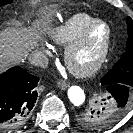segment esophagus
<instances>
[{"label": "esophagus", "instance_id": "1", "mask_svg": "<svg viewBox=\"0 0 133 133\" xmlns=\"http://www.w3.org/2000/svg\"><path fill=\"white\" fill-rule=\"evenodd\" d=\"M57 85H58V87H59L61 90H64V89L68 88L70 84H69V82H67V81L60 80V81H58Z\"/></svg>", "mask_w": 133, "mask_h": 133}]
</instances>
